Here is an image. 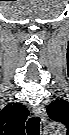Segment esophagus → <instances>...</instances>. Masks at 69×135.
<instances>
[{
  "label": "esophagus",
  "mask_w": 69,
  "mask_h": 135,
  "mask_svg": "<svg viewBox=\"0 0 69 135\" xmlns=\"http://www.w3.org/2000/svg\"><path fill=\"white\" fill-rule=\"evenodd\" d=\"M33 112L36 116L40 117L43 122L46 121V111L42 105H36L33 107Z\"/></svg>",
  "instance_id": "obj_1"
}]
</instances>
